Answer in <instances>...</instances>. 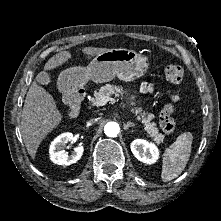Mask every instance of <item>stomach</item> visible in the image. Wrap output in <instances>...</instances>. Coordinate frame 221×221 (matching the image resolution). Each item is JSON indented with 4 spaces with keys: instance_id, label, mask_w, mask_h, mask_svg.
<instances>
[{
    "instance_id": "1",
    "label": "stomach",
    "mask_w": 221,
    "mask_h": 221,
    "mask_svg": "<svg viewBox=\"0 0 221 221\" xmlns=\"http://www.w3.org/2000/svg\"><path fill=\"white\" fill-rule=\"evenodd\" d=\"M149 67L145 55L118 48L99 53L87 67L75 66L64 70L59 79L72 88L85 85L88 80L104 83L118 77L130 82L142 77Z\"/></svg>"
}]
</instances>
